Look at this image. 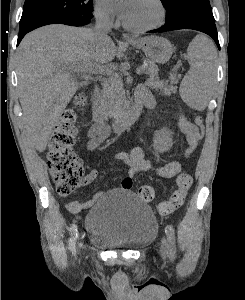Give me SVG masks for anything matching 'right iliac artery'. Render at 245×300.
Here are the masks:
<instances>
[{
    "mask_svg": "<svg viewBox=\"0 0 245 300\" xmlns=\"http://www.w3.org/2000/svg\"><path fill=\"white\" fill-rule=\"evenodd\" d=\"M70 233H71V237L69 239V249L72 251V253H75L76 252L75 241L77 238V225L75 224V222L72 224L70 228Z\"/></svg>",
    "mask_w": 245,
    "mask_h": 300,
    "instance_id": "obj_1",
    "label": "right iliac artery"
}]
</instances>
